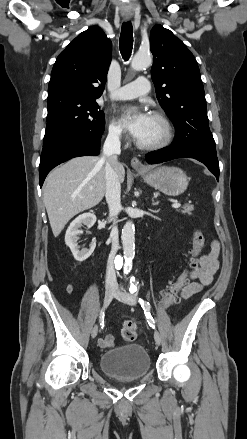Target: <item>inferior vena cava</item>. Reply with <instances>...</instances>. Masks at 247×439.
Masks as SVG:
<instances>
[{
  "label": "inferior vena cava",
  "mask_w": 247,
  "mask_h": 439,
  "mask_svg": "<svg viewBox=\"0 0 247 439\" xmlns=\"http://www.w3.org/2000/svg\"><path fill=\"white\" fill-rule=\"evenodd\" d=\"M121 145L119 140V134L116 131H109L108 136L105 140L103 146V153L107 156V162L105 167V180H106V201L109 207L110 218L115 217L121 211V185L117 173V168L119 165L117 155L121 152ZM112 227L110 237L112 240L111 252L108 257L107 268H106V288H117V279L114 269V257L117 250L119 249L118 240V228L115 225Z\"/></svg>",
  "instance_id": "inferior-vena-cava-1"
}]
</instances>
